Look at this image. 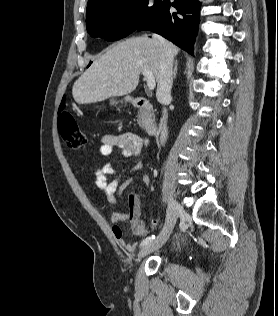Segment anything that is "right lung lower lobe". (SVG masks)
Returning a JSON list of instances; mask_svg holds the SVG:
<instances>
[{
	"instance_id": "1",
	"label": "right lung lower lobe",
	"mask_w": 278,
	"mask_h": 316,
	"mask_svg": "<svg viewBox=\"0 0 278 316\" xmlns=\"http://www.w3.org/2000/svg\"><path fill=\"white\" fill-rule=\"evenodd\" d=\"M177 13L170 12V7ZM200 2L198 0L160 1L152 16L137 31L158 33L193 55V45L198 31Z\"/></svg>"
}]
</instances>
